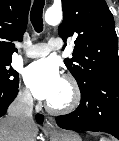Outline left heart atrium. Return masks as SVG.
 Returning <instances> with one entry per match:
<instances>
[{"mask_svg":"<svg viewBox=\"0 0 119 141\" xmlns=\"http://www.w3.org/2000/svg\"><path fill=\"white\" fill-rule=\"evenodd\" d=\"M24 78L35 97L47 101L56 94L62 82L58 64L53 59L32 63L26 68Z\"/></svg>","mask_w":119,"mask_h":141,"instance_id":"left-heart-atrium-1","label":"left heart atrium"}]
</instances>
